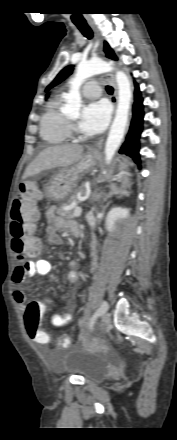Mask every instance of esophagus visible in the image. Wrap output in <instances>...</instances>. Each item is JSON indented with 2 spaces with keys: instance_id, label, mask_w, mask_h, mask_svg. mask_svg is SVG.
Instances as JSON below:
<instances>
[{
  "instance_id": "34e87169",
  "label": "esophagus",
  "mask_w": 177,
  "mask_h": 440,
  "mask_svg": "<svg viewBox=\"0 0 177 440\" xmlns=\"http://www.w3.org/2000/svg\"><path fill=\"white\" fill-rule=\"evenodd\" d=\"M88 24H89L90 28L93 30L95 36L97 38H100V35H99V32H98V29H97L96 25L93 22H88ZM107 78L110 80L111 84L114 87V94H113V96L111 98V101H112L113 105L116 106L117 99H118V90H117V85H116V82H115V78H114V75L112 73L107 74ZM99 144L100 143L97 144L96 149L99 147ZM90 155H94V152L90 153Z\"/></svg>"
}]
</instances>
